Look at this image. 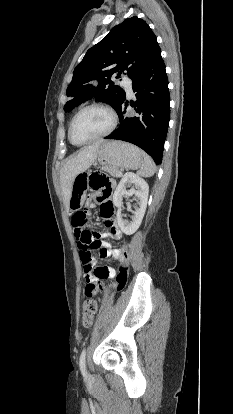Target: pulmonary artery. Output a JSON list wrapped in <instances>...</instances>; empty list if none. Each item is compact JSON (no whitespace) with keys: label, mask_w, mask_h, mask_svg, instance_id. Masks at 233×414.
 Listing matches in <instances>:
<instances>
[{"label":"pulmonary artery","mask_w":233,"mask_h":414,"mask_svg":"<svg viewBox=\"0 0 233 414\" xmlns=\"http://www.w3.org/2000/svg\"><path fill=\"white\" fill-rule=\"evenodd\" d=\"M122 86L125 88L126 92L129 95H132L133 91H132V84H131V80L127 77H123L122 81H121Z\"/></svg>","instance_id":"e3ab8cb5"}]
</instances>
